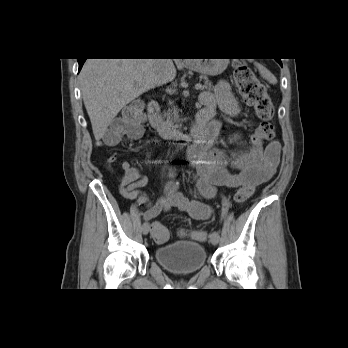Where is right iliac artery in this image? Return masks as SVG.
<instances>
[{
  "label": "right iliac artery",
  "mask_w": 348,
  "mask_h": 348,
  "mask_svg": "<svg viewBox=\"0 0 348 348\" xmlns=\"http://www.w3.org/2000/svg\"><path fill=\"white\" fill-rule=\"evenodd\" d=\"M148 201V196L141 195L140 198L134 200V203H136V206L139 205H145Z\"/></svg>",
  "instance_id": "right-iliac-artery-1"
}]
</instances>
